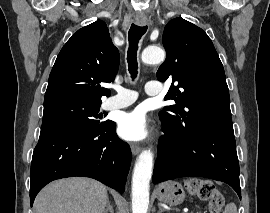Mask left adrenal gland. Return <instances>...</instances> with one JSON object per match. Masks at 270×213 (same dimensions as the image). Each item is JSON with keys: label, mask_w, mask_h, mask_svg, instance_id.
Instances as JSON below:
<instances>
[{"label": "left adrenal gland", "mask_w": 270, "mask_h": 213, "mask_svg": "<svg viewBox=\"0 0 270 213\" xmlns=\"http://www.w3.org/2000/svg\"><path fill=\"white\" fill-rule=\"evenodd\" d=\"M164 211V209L159 205V211L158 213H162Z\"/></svg>", "instance_id": "obj_1"}]
</instances>
